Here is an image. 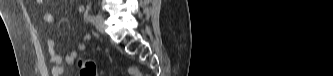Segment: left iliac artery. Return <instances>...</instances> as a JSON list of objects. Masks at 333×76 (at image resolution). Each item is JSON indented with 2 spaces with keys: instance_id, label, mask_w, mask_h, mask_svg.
Listing matches in <instances>:
<instances>
[{
  "instance_id": "1",
  "label": "left iliac artery",
  "mask_w": 333,
  "mask_h": 76,
  "mask_svg": "<svg viewBox=\"0 0 333 76\" xmlns=\"http://www.w3.org/2000/svg\"><path fill=\"white\" fill-rule=\"evenodd\" d=\"M94 18H95L94 15H89V16H88V20H89L90 22L94 21Z\"/></svg>"
}]
</instances>
